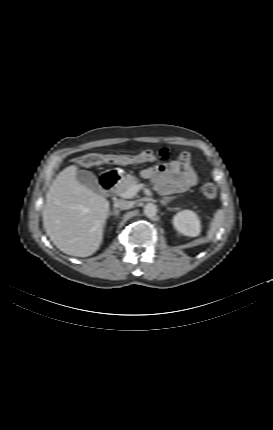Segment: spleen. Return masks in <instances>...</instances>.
Wrapping results in <instances>:
<instances>
[{
	"instance_id": "spleen-1",
	"label": "spleen",
	"mask_w": 273,
	"mask_h": 430,
	"mask_svg": "<svg viewBox=\"0 0 273 430\" xmlns=\"http://www.w3.org/2000/svg\"><path fill=\"white\" fill-rule=\"evenodd\" d=\"M224 222V212L223 210H217L214 214V218L210 225V231L208 239H211L212 236L220 229Z\"/></svg>"
}]
</instances>
